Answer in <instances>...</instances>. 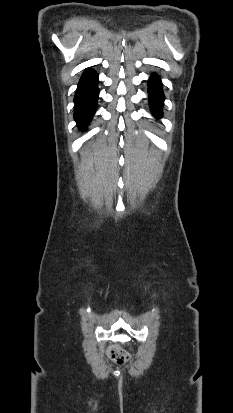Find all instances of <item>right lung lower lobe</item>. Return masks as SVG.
Instances as JSON below:
<instances>
[{"label":"right lung lower lobe","instance_id":"obj_1","mask_svg":"<svg viewBox=\"0 0 233 413\" xmlns=\"http://www.w3.org/2000/svg\"><path fill=\"white\" fill-rule=\"evenodd\" d=\"M98 74L91 69L86 70L78 83L74 97V118L81 129H85L93 118L97 108Z\"/></svg>","mask_w":233,"mask_h":413}]
</instances>
